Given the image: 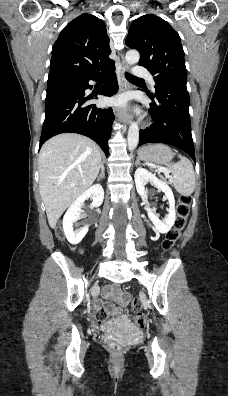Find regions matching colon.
<instances>
[{
	"instance_id": "5ec220e1",
	"label": "colon",
	"mask_w": 228,
	"mask_h": 396,
	"mask_svg": "<svg viewBox=\"0 0 228 396\" xmlns=\"http://www.w3.org/2000/svg\"><path fill=\"white\" fill-rule=\"evenodd\" d=\"M191 198L189 196H181L177 206V217L174 223V227L167 233L166 239L163 242V247L166 250H171L181 238V233L187 225V219L190 212ZM57 236L61 237L62 233L60 230L57 231ZM131 310L134 313V319L138 327L142 328L145 325V317L141 312L140 302L134 300L131 304ZM98 319H103L104 313L99 310L97 314ZM109 348L114 352H120L122 350V344L117 340H111L109 342Z\"/></svg>"
}]
</instances>
